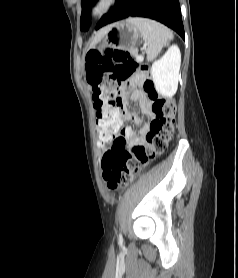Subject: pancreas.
Wrapping results in <instances>:
<instances>
[{
	"label": "pancreas",
	"instance_id": "pancreas-1",
	"mask_svg": "<svg viewBox=\"0 0 238 278\" xmlns=\"http://www.w3.org/2000/svg\"><path fill=\"white\" fill-rule=\"evenodd\" d=\"M130 52L134 57H137V50L136 49H132V50H130Z\"/></svg>",
	"mask_w": 238,
	"mask_h": 278
}]
</instances>
